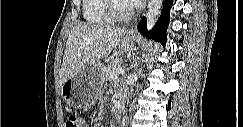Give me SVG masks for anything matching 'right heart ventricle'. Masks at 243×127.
Wrapping results in <instances>:
<instances>
[{
	"label": "right heart ventricle",
	"mask_w": 243,
	"mask_h": 127,
	"mask_svg": "<svg viewBox=\"0 0 243 127\" xmlns=\"http://www.w3.org/2000/svg\"><path fill=\"white\" fill-rule=\"evenodd\" d=\"M83 17L90 25H104L114 22L107 10V0H83Z\"/></svg>",
	"instance_id": "1"
}]
</instances>
